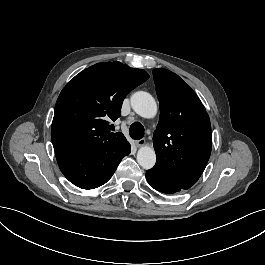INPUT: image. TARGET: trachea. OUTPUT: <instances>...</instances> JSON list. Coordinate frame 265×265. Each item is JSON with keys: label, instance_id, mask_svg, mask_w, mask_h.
I'll return each instance as SVG.
<instances>
[{"label": "trachea", "instance_id": "obj_1", "mask_svg": "<svg viewBox=\"0 0 265 265\" xmlns=\"http://www.w3.org/2000/svg\"><path fill=\"white\" fill-rule=\"evenodd\" d=\"M144 127L139 122H134L129 128L130 137L134 140H140L144 136Z\"/></svg>", "mask_w": 265, "mask_h": 265}]
</instances>
